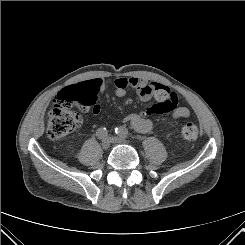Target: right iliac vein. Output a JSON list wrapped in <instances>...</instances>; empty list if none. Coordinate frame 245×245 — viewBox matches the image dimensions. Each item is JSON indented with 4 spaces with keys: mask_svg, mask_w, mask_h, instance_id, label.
Returning <instances> with one entry per match:
<instances>
[{
    "mask_svg": "<svg viewBox=\"0 0 245 245\" xmlns=\"http://www.w3.org/2000/svg\"><path fill=\"white\" fill-rule=\"evenodd\" d=\"M110 144H111V142H110V140L108 139V138H105L103 141H102V148L104 149V150H107L109 147H110Z\"/></svg>",
    "mask_w": 245,
    "mask_h": 245,
    "instance_id": "63e3f726",
    "label": "right iliac vein"
}]
</instances>
